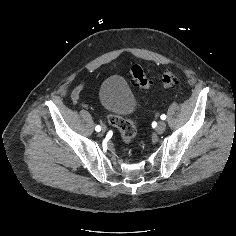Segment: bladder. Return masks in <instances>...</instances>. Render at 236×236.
Returning a JSON list of instances; mask_svg holds the SVG:
<instances>
[{
  "label": "bladder",
  "instance_id": "31cf9c89",
  "mask_svg": "<svg viewBox=\"0 0 236 236\" xmlns=\"http://www.w3.org/2000/svg\"><path fill=\"white\" fill-rule=\"evenodd\" d=\"M99 99L106 111L121 117H129L136 109V100L120 76H111L103 81L99 88Z\"/></svg>",
  "mask_w": 236,
  "mask_h": 236
}]
</instances>
